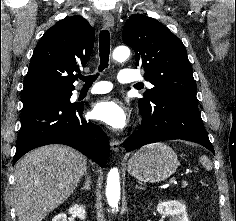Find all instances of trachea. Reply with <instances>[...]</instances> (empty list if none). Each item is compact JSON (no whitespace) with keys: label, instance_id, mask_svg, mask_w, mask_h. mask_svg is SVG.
I'll return each mask as SVG.
<instances>
[{"label":"trachea","instance_id":"3493384b","mask_svg":"<svg viewBox=\"0 0 236 221\" xmlns=\"http://www.w3.org/2000/svg\"><path fill=\"white\" fill-rule=\"evenodd\" d=\"M99 47H100V65L99 72H102L105 68L108 67L109 54H110V33L108 30H102L99 36ZM99 73L96 75L83 76L80 75L79 79L85 82V86H91L92 83L96 80Z\"/></svg>","mask_w":236,"mask_h":221}]
</instances>
